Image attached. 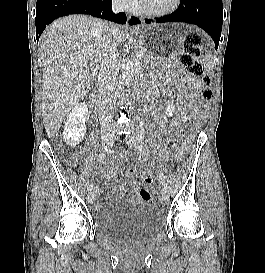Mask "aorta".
<instances>
[{
    "label": "aorta",
    "instance_id": "obj_1",
    "mask_svg": "<svg viewBox=\"0 0 265 273\" xmlns=\"http://www.w3.org/2000/svg\"><path fill=\"white\" fill-rule=\"evenodd\" d=\"M135 64L133 59L128 58L123 68L120 80L117 83V92L120 93L124 87L133 79Z\"/></svg>",
    "mask_w": 265,
    "mask_h": 273
}]
</instances>
